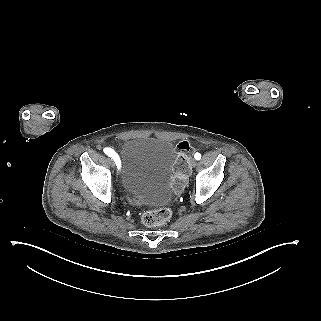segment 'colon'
<instances>
[{
    "label": "colon",
    "instance_id": "obj_1",
    "mask_svg": "<svg viewBox=\"0 0 321 321\" xmlns=\"http://www.w3.org/2000/svg\"><path fill=\"white\" fill-rule=\"evenodd\" d=\"M177 159L174 166V187L181 189L190 173L189 159L192 149L187 141H182L176 146ZM171 217V211L167 208H152L147 210L142 221L146 226L156 227L166 223Z\"/></svg>",
    "mask_w": 321,
    "mask_h": 321
}]
</instances>
